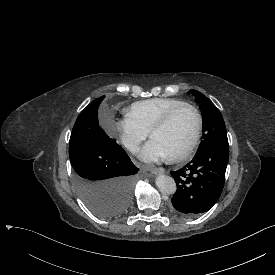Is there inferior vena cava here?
I'll return each instance as SVG.
<instances>
[{
  "instance_id": "obj_1",
  "label": "inferior vena cava",
  "mask_w": 275,
  "mask_h": 275,
  "mask_svg": "<svg viewBox=\"0 0 275 275\" xmlns=\"http://www.w3.org/2000/svg\"><path fill=\"white\" fill-rule=\"evenodd\" d=\"M123 144L132 153H135L139 150V142H137V141H133L130 139H124Z\"/></svg>"
}]
</instances>
